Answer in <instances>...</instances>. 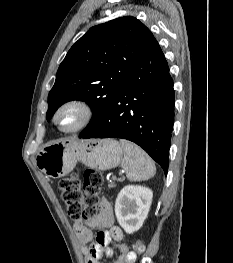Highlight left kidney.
I'll return each instance as SVG.
<instances>
[{
	"label": "left kidney",
	"mask_w": 233,
	"mask_h": 263,
	"mask_svg": "<svg viewBox=\"0 0 233 263\" xmlns=\"http://www.w3.org/2000/svg\"><path fill=\"white\" fill-rule=\"evenodd\" d=\"M152 198V190L143 186L128 185L120 191L115 202V214L126 233L132 234L142 227Z\"/></svg>",
	"instance_id": "obj_1"
}]
</instances>
